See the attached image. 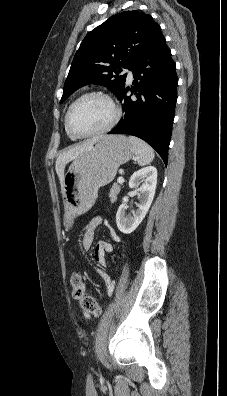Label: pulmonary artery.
I'll return each instance as SVG.
<instances>
[{
	"instance_id": "e3ab8cb5",
	"label": "pulmonary artery",
	"mask_w": 227,
	"mask_h": 396,
	"mask_svg": "<svg viewBox=\"0 0 227 396\" xmlns=\"http://www.w3.org/2000/svg\"><path fill=\"white\" fill-rule=\"evenodd\" d=\"M127 72H128V79H129V80H132V78H133V73H132V71L127 70Z\"/></svg>"
}]
</instances>
